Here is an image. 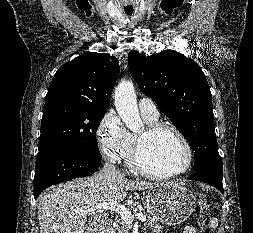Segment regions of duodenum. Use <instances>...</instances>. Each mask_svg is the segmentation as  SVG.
Returning <instances> with one entry per match:
<instances>
[{"instance_id":"410a0bca","label":"duodenum","mask_w":253,"mask_h":233,"mask_svg":"<svg viewBox=\"0 0 253 233\" xmlns=\"http://www.w3.org/2000/svg\"><path fill=\"white\" fill-rule=\"evenodd\" d=\"M111 219L109 217H105L100 224L94 226V230L92 233H106Z\"/></svg>"}]
</instances>
